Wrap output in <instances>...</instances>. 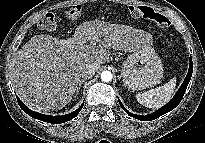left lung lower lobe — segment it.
<instances>
[{
    "label": "left lung lower lobe",
    "mask_w": 205,
    "mask_h": 143,
    "mask_svg": "<svg viewBox=\"0 0 205 143\" xmlns=\"http://www.w3.org/2000/svg\"><path fill=\"white\" fill-rule=\"evenodd\" d=\"M192 70H193V66H192V58H190V66H189V71L187 73V76L183 82V84L181 85V87L179 88V90L177 91V93L175 94V96L173 97V99L166 104L165 106H163L162 108L158 109L157 111H155L154 113L150 114V115H146V116H140V115H133L132 113L128 112L124 106L122 105L121 101L119 100V104L122 107V109L129 114L131 117L142 120V121H151L154 120L160 116H162L163 114L171 111L172 109H174L182 100L184 93L186 91V88L188 86V83L191 79L192 76Z\"/></svg>",
    "instance_id": "left-lung-lower-lobe-1"
}]
</instances>
